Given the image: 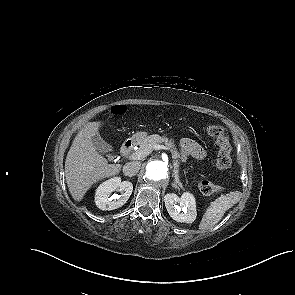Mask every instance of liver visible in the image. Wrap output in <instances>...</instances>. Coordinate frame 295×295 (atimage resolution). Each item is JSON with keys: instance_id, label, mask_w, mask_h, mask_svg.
I'll use <instances>...</instances> for the list:
<instances>
[{"instance_id": "6515ba94", "label": "liver", "mask_w": 295, "mask_h": 295, "mask_svg": "<svg viewBox=\"0 0 295 295\" xmlns=\"http://www.w3.org/2000/svg\"><path fill=\"white\" fill-rule=\"evenodd\" d=\"M98 127L80 132L74 139L65 161V178L69 191L76 201H81L91 186L117 175L120 164H108L92 143Z\"/></svg>"}]
</instances>
